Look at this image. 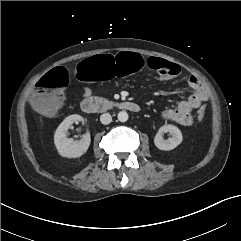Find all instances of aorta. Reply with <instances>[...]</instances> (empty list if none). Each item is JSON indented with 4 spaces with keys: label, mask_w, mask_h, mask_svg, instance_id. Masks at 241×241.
I'll list each match as a JSON object with an SVG mask.
<instances>
[{
    "label": "aorta",
    "mask_w": 241,
    "mask_h": 241,
    "mask_svg": "<svg viewBox=\"0 0 241 241\" xmlns=\"http://www.w3.org/2000/svg\"><path fill=\"white\" fill-rule=\"evenodd\" d=\"M117 117L120 122H126L128 120V113L126 111H120Z\"/></svg>",
    "instance_id": "762f6f07"
}]
</instances>
